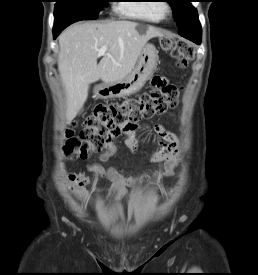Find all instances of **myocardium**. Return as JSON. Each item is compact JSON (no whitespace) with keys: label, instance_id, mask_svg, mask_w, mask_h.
<instances>
[{"label":"myocardium","instance_id":"obj_1","mask_svg":"<svg viewBox=\"0 0 258 275\" xmlns=\"http://www.w3.org/2000/svg\"><path fill=\"white\" fill-rule=\"evenodd\" d=\"M161 13L163 17H168L172 15L173 9L169 4L164 3L161 5Z\"/></svg>","mask_w":258,"mask_h":275}]
</instances>
